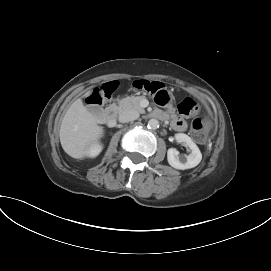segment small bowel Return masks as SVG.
Returning <instances> with one entry per match:
<instances>
[{
  "label": "small bowel",
  "mask_w": 271,
  "mask_h": 271,
  "mask_svg": "<svg viewBox=\"0 0 271 271\" xmlns=\"http://www.w3.org/2000/svg\"><path fill=\"white\" fill-rule=\"evenodd\" d=\"M157 115L161 116V117L165 116V114L162 112H157ZM170 118H171V125L175 130H177V131H184L185 130L186 123L183 119L177 117L173 113H171Z\"/></svg>",
  "instance_id": "small-bowel-1"
}]
</instances>
